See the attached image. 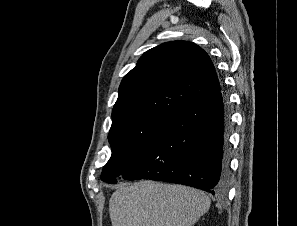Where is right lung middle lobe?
Here are the masks:
<instances>
[{"mask_svg":"<svg viewBox=\"0 0 297 226\" xmlns=\"http://www.w3.org/2000/svg\"><path fill=\"white\" fill-rule=\"evenodd\" d=\"M171 115L150 113L113 123L108 135L112 155L103 168L101 180L117 182L119 176L145 151Z\"/></svg>","mask_w":297,"mask_h":226,"instance_id":"dd1d6c3e","label":"right lung middle lobe"}]
</instances>
